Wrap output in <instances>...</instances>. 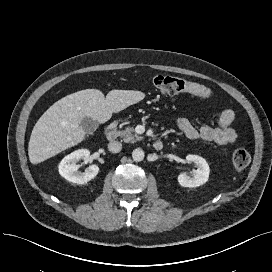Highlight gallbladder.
Returning a JSON list of instances; mask_svg holds the SVG:
<instances>
[{
    "label": "gallbladder",
    "mask_w": 272,
    "mask_h": 272,
    "mask_svg": "<svg viewBox=\"0 0 272 272\" xmlns=\"http://www.w3.org/2000/svg\"><path fill=\"white\" fill-rule=\"evenodd\" d=\"M81 127L84 129V131L88 134H92L95 132V130L98 127V122L93 120L90 117H84L81 122Z\"/></svg>",
    "instance_id": "1"
}]
</instances>
